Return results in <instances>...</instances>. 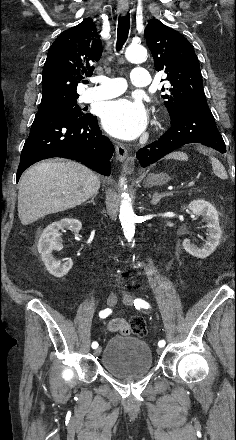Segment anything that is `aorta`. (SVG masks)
<instances>
[{"instance_id":"obj_1","label":"aorta","mask_w":236,"mask_h":440,"mask_svg":"<svg viewBox=\"0 0 236 440\" xmlns=\"http://www.w3.org/2000/svg\"><path fill=\"white\" fill-rule=\"evenodd\" d=\"M125 58L131 63H143L147 59V50L142 45H129L125 50ZM125 178L120 179V184L126 188ZM119 219L125 238L130 242L135 234L136 215L133 212L128 193H122Z\"/></svg>"}]
</instances>
